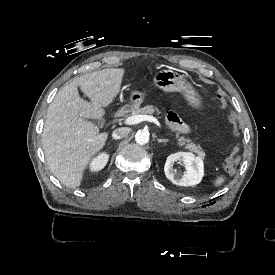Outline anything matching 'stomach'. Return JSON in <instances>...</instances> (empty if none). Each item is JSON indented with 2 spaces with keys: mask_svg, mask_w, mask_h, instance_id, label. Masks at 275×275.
Returning <instances> with one entry per match:
<instances>
[{
  "mask_svg": "<svg viewBox=\"0 0 275 275\" xmlns=\"http://www.w3.org/2000/svg\"><path fill=\"white\" fill-rule=\"evenodd\" d=\"M154 84L166 92H181L189 104L200 106L201 96L194 90L184 75L172 69L161 70L154 76ZM145 93L134 91L130 96L129 105H125L123 110L137 109L144 102Z\"/></svg>",
  "mask_w": 275,
  "mask_h": 275,
  "instance_id": "obj_1",
  "label": "stomach"
}]
</instances>
